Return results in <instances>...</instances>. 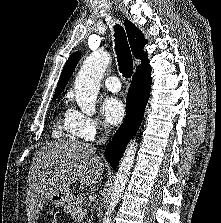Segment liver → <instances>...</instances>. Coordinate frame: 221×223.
I'll use <instances>...</instances> for the list:
<instances>
[{
  "label": "liver",
  "mask_w": 221,
  "mask_h": 223,
  "mask_svg": "<svg viewBox=\"0 0 221 223\" xmlns=\"http://www.w3.org/2000/svg\"><path fill=\"white\" fill-rule=\"evenodd\" d=\"M103 171L104 164L91 144L70 140L48 143L35 154L28 174V223H36L53 193L77 181L81 188L88 187Z\"/></svg>",
  "instance_id": "1"
}]
</instances>
